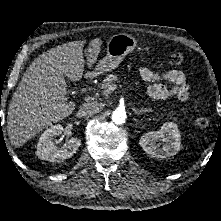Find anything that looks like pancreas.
Instances as JSON below:
<instances>
[{"label":"pancreas","mask_w":221,"mask_h":221,"mask_svg":"<svg viewBox=\"0 0 221 221\" xmlns=\"http://www.w3.org/2000/svg\"><path fill=\"white\" fill-rule=\"evenodd\" d=\"M118 80L117 76L113 75V74H109L104 80L103 82L99 85V87L102 89V95L104 96H108L109 92L108 89L110 88V86L116 82Z\"/></svg>","instance_id":"cf45deb5"}]
</instances>
